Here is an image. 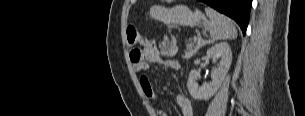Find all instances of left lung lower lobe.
Returning a JSON list of instances; mask_svg holds the SVG:
<instances>
[{"label":"left lung lower lobe","instance_id":"1","mask_svg":"<svg viewBox=\"0 0 305 116\" xmlns=\"http://www.w3.org/2000/svg\"><path fill=\"white\" fill-rule=\"evenodd\" d=\"M217 11L234 19L245 35L252 0H200Z\"/></svg>","mask_w":305,"mask_h":116}]
</instances>
